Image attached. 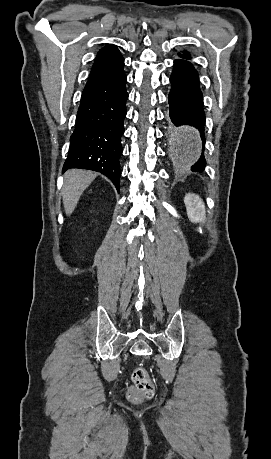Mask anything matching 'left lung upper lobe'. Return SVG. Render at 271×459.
<instances>
[{
  "label": "left lung upper lobe",
  "mask_w": 271,
  "mask_h": 459,
  "mask_svg": "<svg viewBox=\"0 0 271 459\" xmlns=\"http://www.w3.org/2000/svg\"><path fill=\"white\" fill-rule=\"evenodd\" d=\"M179 56H180L181 58L190 59V53L187 52V51H183L182 54L179 53Z\"/></svg>",
  "instance_id": "5c2ea615"
}]
</instances>
